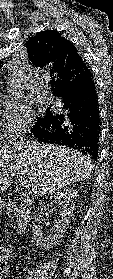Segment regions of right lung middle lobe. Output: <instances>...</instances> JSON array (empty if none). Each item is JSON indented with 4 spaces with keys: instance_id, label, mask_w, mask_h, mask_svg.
I'll return each mask as SVG.
<instances>
[{
    "instance_id": "right-lung-middle-lobe-1",
    "label": "right lung middle lobe",
    "mask_w": 113,
    "mask_h": 279,
    "mask_svg": "<svg viewBox=\"0 0 113 279\" xmlns=\"http://www.w3.org/2000/svg\"><path fill=\"white\" fill-rule=\"evenodd\" d=\"M49 114H50V110L47 109V110H46V113H45L43 116L37 118V121H36V123H35V126H37L38 124H40V123H42L44 120H46V118L48 117Z\"/></svg>"
}]
</instances>
